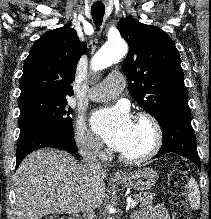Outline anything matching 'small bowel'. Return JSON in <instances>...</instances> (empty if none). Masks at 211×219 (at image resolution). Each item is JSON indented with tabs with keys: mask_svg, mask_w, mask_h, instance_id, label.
<instances>
[{
	"mask_svg": "<svg viewBox=\"0 0 211 219\" xmlns=\"http://www.w3.org/2000/svg\"><path fill=\"white\" fill-rule=\"evenodd\" d=\"M134 219H169L168 211L161 205L141 210Z\"/></svg>",
	"mask_w": 211,
	"mask_h": 219,
	"instance_id": "c3829d8e",
	"label": "small bowel"
}]
</instances>
